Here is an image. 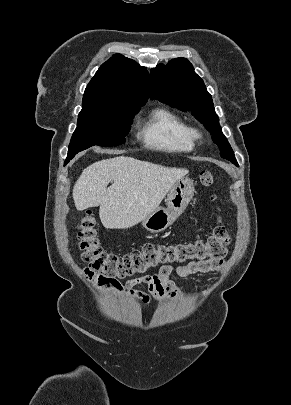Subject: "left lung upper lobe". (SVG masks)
Masks as SVG:
<instances>
[{
  "mask_svg": "<svg viewBox=\"0 0 291 405\" xmlns=\"http://www.w3.org/2000/svg\"><path fill=\"white\" fill-rule=\"evenodd\" d=\"M150 96L171 107L189 111L212 135L221 157L237 165L234 153L219 125L211 95L185 58H176L150 71Z\"/></svg>",
  "mask_w": 291,
  "mask_h": 405,
  "instance_id": "5c2ea615",
  "label": "left lung upper lobe"
}]
</instances>
